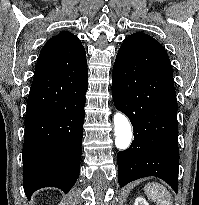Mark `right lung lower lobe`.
Listing matches in <instances>:
<instances>
[{"label": "right lung lower lobe", "instance_id": "98d812e1", "mask_svg": "<svg viewBox=\"0 0 199 205\" xmlns=\"http://www.w3.org/2000/svg\"><path fill=\"white\" fill-rule=\"evenodd\" d=\"M32 82L23 145V187L28 199L43 187L68 193L80 171L88 74L64 79L61 90Z\"/></svg>", "mask_w": 199, "mask_h": 205}]
</instances>
